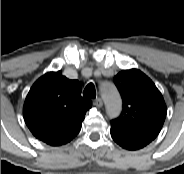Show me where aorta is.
Returning a JSON list of instances; mask_svg holds the SVG:
<instances>
[{
    "instance_id": "1",
    "label": "aorta",
    "mask_w": 184,
    "mask_h": 174,
    "mask_svg": "<svg viewBox=\"0 0 184 174\" xmlns=\"http://www.w3.org/2000/svg\"><path fill=\"white\" fill-rule=\"evenodd\" d=\"M101 94L106 105V112L109 117L114 118L121 112V98L116 87L112 83H104L101 87Z\"/></svg>"
}]
</instances>
